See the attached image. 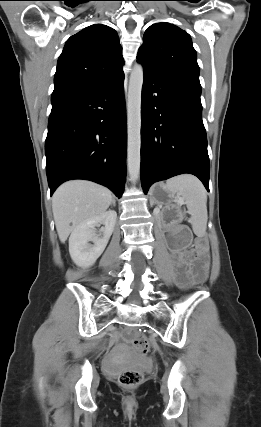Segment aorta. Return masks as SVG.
<instances>
[{
	"mask_svg": "<svg viewBox=\"0 0 261 427\" xmlns=\"http://www.w3.org/2000/svg\"><path fill=\"white\" fill-rule=\"evenodd\" d=\"M144 73L140 64H135L129 79L127 100V161L130 178L138 179L141 163V93Z\"/></svg>",
	"mask_w": 261,
	"mask_h": 427,
	"instance_id": "1",
	"label": "aorta"
}]
</instances>
